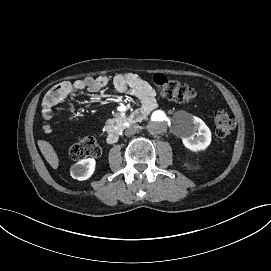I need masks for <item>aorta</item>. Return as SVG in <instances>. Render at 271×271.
<instances>
[{
	"mask_svg": "<svg viewBox=\"0 0 271 271\" xmlns=\"http://www.w3.org/2000/svg\"><path fill=\"white\" fill-rule=\"evenodd\" d=\"M145 116L147 122V130L149 133L156 135L161 134L167 130L168 114L161 109H145Z\"/></svg>",
	"mask_w": 271,
	"mask_h": 271,
	"instance_id": "aorta-1",
	"label": "aorta"
}]
</instances>
